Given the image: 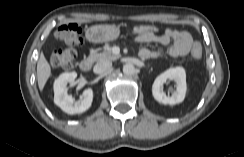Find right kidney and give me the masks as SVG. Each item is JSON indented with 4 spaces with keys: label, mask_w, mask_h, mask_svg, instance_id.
<instances>
[{
    "label": "right kidney",
    "mask_w": 244,
    "mask_h": 157,
    "mask_svg": "<svg viewBox=\"0 0 244 157\" xmlns=\"http://www.w3.org/2000/svg\"><path fill=\"white\" fill-rule=\"evenodd\" d=\"M77 77L76 72H67L61 74L54 82V103L67 114H81L87 111L93 101V90L85 89L80 101H74V98L67 93V84L73 83Z\"/></svg>",
    "instance_id": "1"
}]
</instances>
